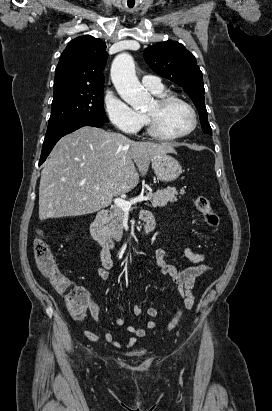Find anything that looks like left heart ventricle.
<instances>
[{
  "label": "left heart ventricle",
  "mask_w": 272,
  "mask_h": 411,
  "mask_svg": "<svg viewBox=\"0 0 272 411\" xmlns=\"http://www.w3.org/2000/svg\"><path fill=\"white\" fill-rule=\"evenodd\" d=\"M145 113L156 117L159 126L167 134H179L188 130L192 124L190 111L182 104L175 103L164 110H160L153 101L146 109Z\"/></svg>",
  "instance_id": "obj_1"
}]
</instances>
